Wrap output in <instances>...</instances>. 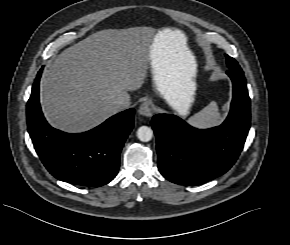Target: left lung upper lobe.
Here are the masks:
<instances>
[{
  "label": "left lung upper lobe",
  "mask_w": 290,
  "mask_h": 245,
  "mask_svg": "<svg viewBox=\"0 0 290 245\" xmlns=\"http://www.w3.org/2000/svg\"><path fill=\"white\" fill-rule=\"evenodd\" d=\"M226 62H227V65H228V68L229 69H238V70H241V67L239 66V64H238V62L234 59V58H232V57H230V56H226Z\"/></svg>",
  "instance_id": "left-lung-upper-lobe-1"
}]
</instances>
